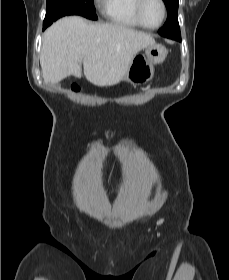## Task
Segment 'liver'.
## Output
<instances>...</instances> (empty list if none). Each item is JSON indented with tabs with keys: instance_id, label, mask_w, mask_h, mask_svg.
Returning <instances> with one entry per match:
<instances>
[{
	"instance_id": "obj_1",
	"label": "liver",
	"mask_w": 229,
	"mask_h": 280,
	"mask_svg": "<svg viewBox=\"0 0 229 280\" xmlns=\"http://www.w3.org/2000/svg\"><path fill=\"white\" fill-rule=\"evenodd\" d=\"M154 38L111 23H91L79 16L64 17L44 33L40 64L45 83L73 75L96 86H112L126 74L133 58Z\"/></svg>"
}]
</instances>
